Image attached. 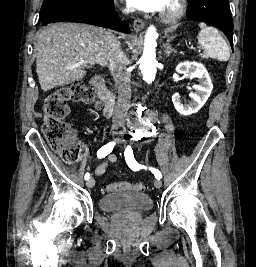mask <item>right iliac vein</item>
Instances as JSON below:
<instances>
[{"mask_svg": "<svg viewBox=\"0 0 256 267\" xmlns=\"http://www.w3.org/2000/svg\"><path fill=\"white\" fill-rule=\"evenodd\" d=\"M94 185H95V180H94L93 178L87 180V182H86V186H87L88 188H92Z\"/></svg>", "mask_w": 256, "mask_h": 267, "instance_id": "right-iliac-vein-1", "label": "right iliac vein"}]
</instances>
